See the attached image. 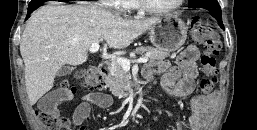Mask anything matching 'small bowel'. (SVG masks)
I'll return each instance as SVG.
<instances>
[{
  "label": "small bowel",
  "mask_w": 257,
  "mask_h": 130,
  "mask_svg": "<svg viewBox=\"0 0 257 130\" xmlns=\"http://www.w3.org/2000/svg\"><path fill=\"white\" fill-rule=\"evenodd\" d=\"M198 56L197 48L189 46L177 56L174 64L166 61L154 63L145 68L144 75L148 79L160 75V85L169 96L187 97L195 90V80L198 76ZM58 101V95L51 93L44 97L41 106L55 108ZM110 104L111 97L104 93L95 92L82 97L74 110L71 130H85L83 123L90 116L93 107L104 109ZM190 108L189 130H202L210 116L211 102L204 96L196 95L191 99ZM176 126L177 130H182L179 121Z\"/></svg>",
  "instance_id": "c3829d8e"
}]
</instances>
